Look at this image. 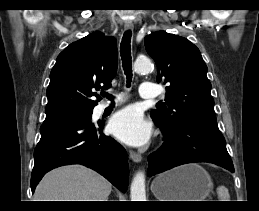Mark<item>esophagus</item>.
<instances>
[{"mask_svg": "<svg viewBox=\"0 0 259 211\" xmlns=\"http://www.w3.org/2000/svg\"><path fill=\"white\" fill-rule=\"evenodd\" d=\"M124 28H125V30H127V31H131V30H133L134 26H133L132 23H126V24L124 25ZM130 158H131L134 162H136V163L141 162V160H142V156H141L139 153L135 152V151H130Z\"/></svg>", "mask_w": 259, "mask_h": 211, "instance_id": "34e87169", "label": "esophagus"}]
</instances>
